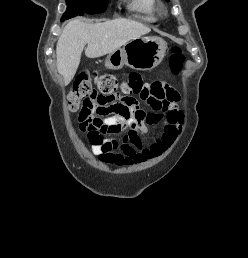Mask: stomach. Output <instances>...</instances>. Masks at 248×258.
<instances>
[{
  "label": "stomach",
  "instance_id": "1",
  "mask_svg": "<svg viewBox=\"0 0 248 258\" xmlns=\"http://www.w3.org/2000/svg\"><path fill=\"white\" fill-rule=\"evenodd\" d=\"M166 49L167 44L160 37H139L110 53L105 66L113 70L124 65L139 71L152 70L162 62Z\"/></svg>",
  "mask_w": 248,
  "mask_h": 258
}]
</instances>
